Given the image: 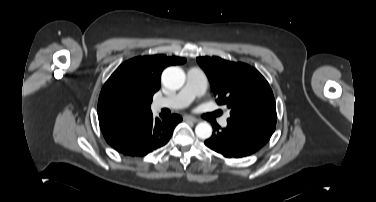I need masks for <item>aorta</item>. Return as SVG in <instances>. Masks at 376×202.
<instances>
[{
	"instance_id": "aorta-1",
	"label": "aorta",
	"mask_w": 376,
	"mask_h": 202,
	"mask_svg": "<svg viewBox=\"0 0 376 202\" xmlns=\"http://www.w3.org/2000/svg\"><path fill=\"white\" fill-rule=\"evenodd\" d=\"M162 82L169 89H180L185 82V73L180 67H168L162 74ZM195 133L200 139H208L212 134V127L207 122H201L197 124Z\"/></svg>"
}]
</instances>
